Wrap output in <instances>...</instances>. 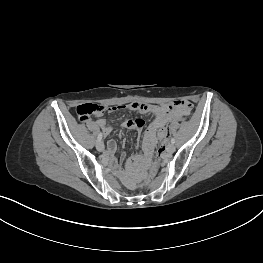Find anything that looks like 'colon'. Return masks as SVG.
Masks as SVG:
<instances>
[{
	"label": "colon",
	"mask_w": 263,
	"mask_h": 263,
	"mask_svg": "<svg viewBox=\"0 0 263 263\" xmlns=\"http://www.w3.org/2000/svg\"><path fill=\"white\" fill-rule=\"evenodd\" d=\"M174 104L175 105L179 104L182 108L185 105H188L190 108L192 106L191 103L188 101H178L175 102ZM105 110L106 107H104L103 105L88 103L78 106L76 109V113L81 121H86L92 115L102 114L103 112H105ZM125 110L127 112H136L138 110L141 114H147L149 112V107L145 102H140L138 105L136 103H127L125 105ZM169 140H170V123H165V137L162 140V143H160V148L158 149V153L155 156L152 164L150 165L147 178H145L144 181L139 182V187H145L150 185L154 171L158 166V164L160 163V160L164 156L165 148Z\"/></svg>",
	"instance_id": "1"
}]
</instances>
